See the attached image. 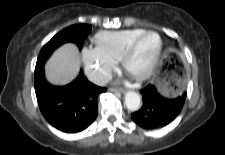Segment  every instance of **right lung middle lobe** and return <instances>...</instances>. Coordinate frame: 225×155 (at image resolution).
<instances>
[{"instance_id": "right-lung-middle-lobe-1", "label": "right lung middle lobe", "mask_w": 225, "mask_h": 155, "mask_svg": "<svg viewBox=\"0 0 225 155\" xmlns=\"http://www.w3.org/2000/svg\"><path fill=\"white\" fill-rule=\"evenodd\" d=\"M91 31L90 25H73L57 33L40 51L36 67L44 64L51 53L66 42H74L82 49L83 43Z\"/></svg>"}]
</instances>
